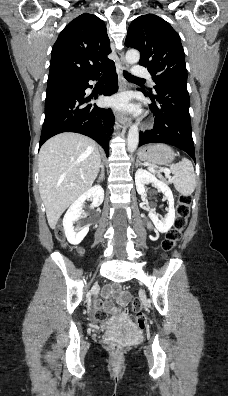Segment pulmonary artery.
Segmentation results:
<instances>
[{"mask_svg": "<svg viewBox=\"0 0 228 396\" xmlns=\"http://www.w3.org/2000/svg\"><path fill=\"white\" fill-rule=\"evenodd\" d=\"M134 75L138 78H150L151 77L150 73L147 69H145L143 67H139V66L134 68Z\"/></svg>", "mask_w": 228, "mask_h": 396, "instance_id": "e3ab8cb5", "label": "pulmonary artery"}]
</instances>
